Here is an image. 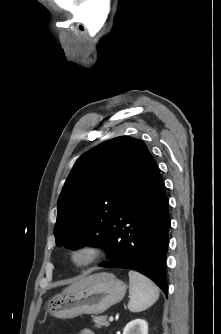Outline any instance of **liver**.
<instances>
[{"label": "liver", "instance_id": "1", "mask_svg": "<svg viewBox=\"0 0 221 334\" xmlns=\"http://www.w3.org/2000/svg\"><path fill=\"white\" fill-rule=\"evenodd\" d=\"M91 282V278L89 276H83L81 277L77 282L71 284L68 286L64 292H71L77 289H81L85 286H87Z\"/></svg>", "mask_w": 221, "mask_h": 334}]
</instances>
